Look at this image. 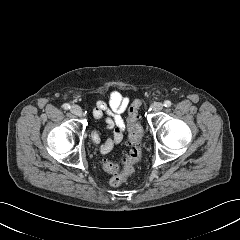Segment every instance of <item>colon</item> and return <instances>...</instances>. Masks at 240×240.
Segmentation results:
<instances>
[{
    "mask_svg": "<svg viewBox=\"0 0 240 240\" xmlns=\"http://www.w3.org/2000/svg\"><path fill=\"white\" fill-rule=\"evenodd\" d=\"M141 105L142 100L136 99L128 109V142L127 151L122 157V169H119V166L111 161H102L103 168L112 175L110 184L113 187L121 186L132 175L133 165L137 163L141 157L142 127L138 123V111Z\"/></svg>",
    "mask_w": 240,
    "mask_h": 240,
    "instance_id": "1",
    "label": "colon"
}]
</instances>
